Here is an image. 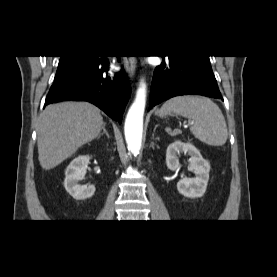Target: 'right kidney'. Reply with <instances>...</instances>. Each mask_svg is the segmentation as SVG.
Segmentation results:
<instances>
[{
	"label": "right kidney",
	"instance_id": "1",
	"mask_svg": "<svg viewBox=\"0 0 277 277\" xmlns=\"http://www.w3.org/2000/svg\"><path fill=\"white\" fill-rule=\"evenodd\" d=\"M90 156H78L68 165L65 170L64 187L76 200H85L94 195V185H80L79 181L84 178Z\"/></svg>",
	"mask_w": 277,
	"mask_h": 277
}]
</instances>
